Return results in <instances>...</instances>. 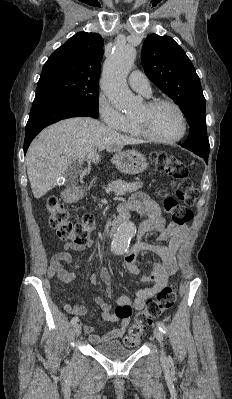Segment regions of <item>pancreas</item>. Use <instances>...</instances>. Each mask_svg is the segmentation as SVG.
Returning a JSON list of instances; mask_svg holds the SVG:
<instances>
[{
	"mask_svg": "<svg viewBox=\"0 0 232 399\" xmlns=\"http://www.w3.org/2000/svg\"><path fill=\"white\" fill-rule=\"evenodd\" d=\"M139 188H143L142 182H123V180H115V182H110L108 184V188H104L106 190V194H110V192H115L117 194H121V192H136Z\"/></svg>",
	"mask_w": 232,
	"mask_h": 399,
	"instance_id": "obj_1",
	"label": "pancreas"
}]
</instances>
